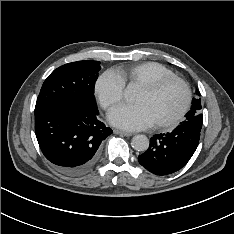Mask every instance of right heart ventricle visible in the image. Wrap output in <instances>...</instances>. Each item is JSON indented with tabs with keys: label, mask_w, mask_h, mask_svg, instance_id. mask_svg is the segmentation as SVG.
I'll return each mask as SVG.
<instances>
[{
	"label": "right heart ventricle",
	"mask_w": 234,
	"mask_h": 234,
	"mask_svg": "<svg viewBox=\"0 0 234 234\" xmlns=\"http://www.w3.org/2000/svg\"><path fill=\"white\" fill-rule=\"evenodd\" d=\"M113 72L119 77L124 85L137 87L152 83L165 77L176 76L172 70L155 62H145L126 67H117Z\"/></svg>",
	"instance_id": "right-heart-ventricle-1"
}]
</instances>
